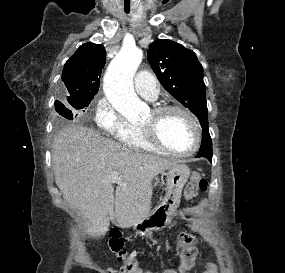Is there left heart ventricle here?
<instances>
[{"label": "left heart ventricle", "instance_id": "1", "mask_svg": "<svg viewBox=\"0 0 285 273\" xmlns=\"http://www.w3.org/2000/svg\"><path fill=\"white\" fill-rule=\"evenodd\" d=\"M140 125L154 126L160 140L168 148L186 152L194 143V128L190 120L180 112L172 111L156 116L150 111Z\"/></svg>", "mask_w": 285, "mask_h": 273}]
</instances>
